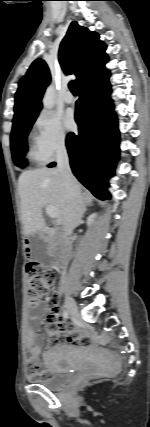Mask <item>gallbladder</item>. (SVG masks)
Wrapping results in <instances>:
<instances>
[{
  "mask_svg": "<svg viewBox=\"0 0 150 427\" xmlns=\"http://www.w3.org/2000/svg\"><path fill=\"white\" fill-rule=\"evenodd\" d=\"M31 258L37 260L41 265L50 266L54 262V257L48 251V243L40 236L35 234L30 238Z\"/></svg>",
  "mask_w": 150,
  "mask_h": 427,
  "instance_id": "obj_1",
  "label": "gallbladder"
}]
</instances>
